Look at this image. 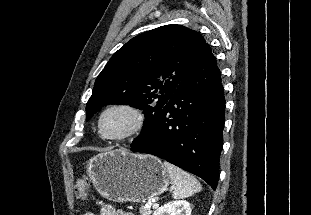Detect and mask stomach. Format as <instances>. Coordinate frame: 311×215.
<instances>
[{
	"label": "stomach",
	"instance_id": "0dacf381",
	"mask_svg": "<svg viewBox=\"0 0 311 215\" xmlns=\"http://www.w3.org/2000/svg\"><path fill=\"white\" fill-rule=\"evenodd\" d=\"M85 167L99 194L114 202H146L164 193L170 182L160 159L123 150L98 154Z\"/></svg>",
	"mask_w": 311,
	"mask_h": 215
}]
</instances>
